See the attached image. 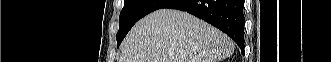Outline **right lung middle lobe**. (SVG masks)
Instances as JSON below:
<instances>
[{
	"label": "right lung middle lobe",
	"mask_w": 331,
	"mask_h": 62,
	"mask_svg": "<svg viewBox=\"0 0 331 62\" xmlns=\"http://www.w3.org/2000/svg\"><path fill=\"white\" fill-rule=\"evenodd\" d=\"M172 0H124V7L120 12V27L117 32V45L122 42L132 26L145 15L164 8Z\"/></svg>",
	"instance_id": "1"
}]
</instances>
